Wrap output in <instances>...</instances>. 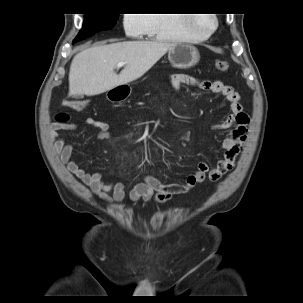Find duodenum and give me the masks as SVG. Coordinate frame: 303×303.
<instances>
[{
	"mask_svg": "<svg viewBox=\"0 0 303 303\" xmlns=\"http://www.w3.org/2000/svg\"><path fill=\"white\" fill-rule=\"evenodd\" d=\"M126 96V92L124 89H116L112 95L113 99L116 101H120L124 99Z\"/></svg>",
	"mask_w": 303,
	"mask_h": 303,
	"instance_id": "410a0bca",
	"label": "duodenum"
}]
</instances>
